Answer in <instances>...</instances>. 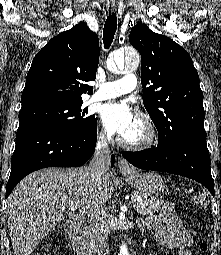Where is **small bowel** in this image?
I'll use <instances>...</instances> for the list:
<instances>
[{"instance_id": "c3829d8e", "label": "small bowel", "mask_w": 221, "mask_h": 255, "mask_svg": "<svg viewBox=\"0 0 221 255\" xmlns=\"http://www.w3.org/2000/svg\"><path fill=\"white\" fill-rule=\"evenodd\" d=\"M146 226L154 232L161 245L174 249L177 255H192V237L183 228L172 205L166 204L158 215L149 216Z\"/></svg>"}]
</instances>
